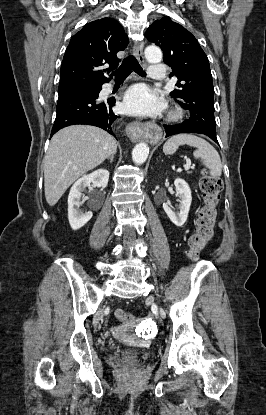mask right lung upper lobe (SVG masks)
Masks as SVG:
<instances>
[{
	"label": "right lung upper lobe",
	"mask_w": 266,
	"mask_h": 415,
	"mask_svg": "<svg viewBox=\"0 0 266 415\" xmlns=\"http://www.w3.org/2000/svg\"><path fill=\"white\" fill-rule=\"evenodd\" d=\"M128 43L121 24L111 18H102L85 25L70 40L61 65L59 95L96 88L107 83L105 73L118 64L117 52ZM109 64L108 69H101Z\"/></svg>",
	"instance_id": "right-lung-upper-lobe-1"
}]
</instances>
